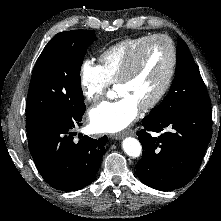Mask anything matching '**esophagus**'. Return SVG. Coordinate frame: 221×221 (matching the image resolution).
I'll return each mask as SVG.
<instances>
[{
	"instance_id": "obj_1",
	"label": "esophagus",
	"mask_w": 221,
	"mask_h": 221,
	"mask_svg": "<svg viewBox=\"0 0 221 221\" xmlns=\"http://www.w3.org/2000/svg\"><path fill=\"white\" fill-rule=\"evenodd\" d=\"M127 135H134V131L129 130V131H126L124 133L115 134L113 136V138L116 139V140H120V139H122L123 137H125Z\"/></svg>"
}]
</instances>
